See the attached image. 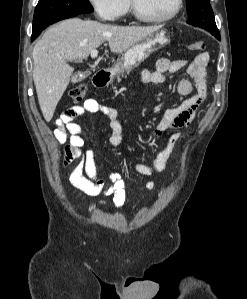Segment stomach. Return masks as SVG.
I'll return each instance as SVG.
<instances>
[{
  "label": "stomach",
  "instance_id": "stomach-1",
  "mask_svg": "<svg viewBox=\"0 0 247 299\" xmlns=\"http://www.w3.org/2000/svg\"><path fill=\"white\" fill-rule=\"evenodd\" d=\"M170 43V36L166 29H160L140 40L117 61L113 68L114 75L130 72L145 61L152 53Z\"/></svg>",
  "mask_w": 247,
  "mask_h": 299
}]
</instances>
